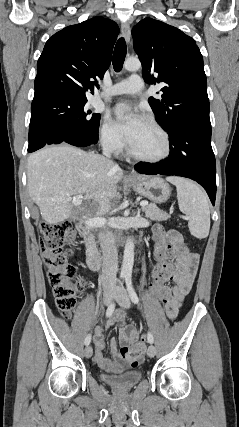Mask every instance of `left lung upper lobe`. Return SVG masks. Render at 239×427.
<instances>
[{"label":"left lung upper lobe","mask_w":239,"mask_h":427,"mask_svg":"<svg viewBox=\"0 0 239 427\" xmlns=\"http://www.w3.org/2000/svg\"><path fill=\"white\" fill-rule=\"evenodd\" d=\"M132 34L145 81L163 86L161 100H148L158 124L166 131L185 122L211 125L203 57L194 39L152 18L141 20Z\"/></svg>","instance_id":"obj_1"}]
</instances>
